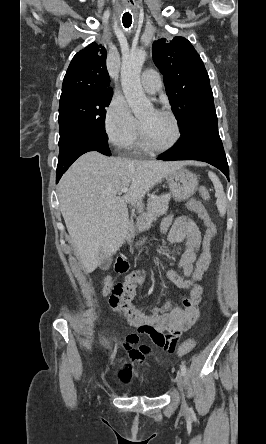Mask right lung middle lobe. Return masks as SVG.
<instances>
[{
    "label": "right lung middle lobe",
    "mask_w": 266,
    "mask_h": 444,
    "mask_svg": "<svg viewBox=\"0 0 266 444\" xmlns=\"http://www.w3.org/2000/svg\"><path fill=\"white\" fill-rule=\"evenodd\" d=\"M112 94V90L101 91L60 101L59 155L86 137L100 136L107 139L105 107L109 106Z\"/></svg>",
    "instance_id": "dd1d6c3e"
}]
</instances>
